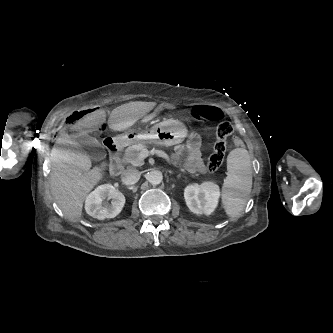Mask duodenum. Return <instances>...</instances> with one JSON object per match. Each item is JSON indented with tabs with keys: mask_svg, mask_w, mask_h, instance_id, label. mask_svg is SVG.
I'll use <instances>...</instances> for the list:
<instances>
[{
	"mask_svg": "<svg viewBox=\"0 0 333 333\" xmlns=\"http://www.w3.org/2000/svg\"><path fill=\"white\" fill-rule=\"evenodd\" d=\"M106 145L111 159L110 173L117 176L122 171V165L119 161L120 143L110 140Z\"/></svg>",
	"mask_w": 333,
	"mask_h": 333,
	"instance_id": "1",
	"label": "duodenum"
}]
</instances>
